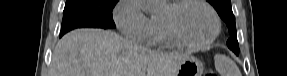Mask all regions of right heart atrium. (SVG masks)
Here are the masks:
<instances>
[{
  "label": "right heart atrium",
  "instance_id": "right-heart-atrium-1",
  "mask_svg": "<svg viewBox=\"0 0 287 76\" xmlns=\"http://www.w3.org/2000/svg\"><path fill=\"white\" fill-rule=\"evenodd\" d=\"M114 21L127 38L146 43L150 37V19L142 10L140 0H120L114 9Z\"/></svg>",
  "mask_w": 287,
  "mask_h": 76
}]
</instances>
